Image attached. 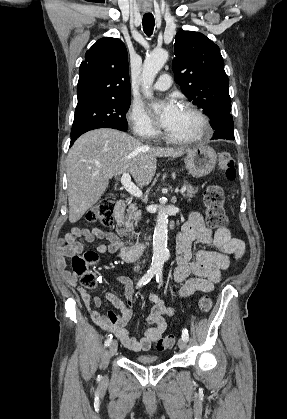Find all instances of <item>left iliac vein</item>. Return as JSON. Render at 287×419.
Listing matches in <instances>:
<instances>
[{"label": "left iliac vein", "mask_w": 287, "mask_h": 419, "mask_svg": "<svg viewBox=\"0 0 287 419\" xmlns=\"http://www.w3.org/2000/svg\"><path fill=\"white\" fill-rule=\"evenodd\" d=\"M178 346L181 350H184L187 346V341L183 338H180L178 341Z\"/></svg>", "instance_id": "left-iliac-vein-1"}]
</instances>
